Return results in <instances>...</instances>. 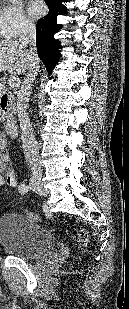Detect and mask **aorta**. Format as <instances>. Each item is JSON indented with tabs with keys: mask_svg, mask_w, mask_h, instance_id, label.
<instances>
[{
	"mask_svg": "<svg viewBox=\"0 0 129 309\" xmlns=\"http://www.w3.org/2000/svg\"><path fill=\"white\" fill-rule=\"evenodd\" d=\"M11 2H16L17 0H10Z\"/></svg>",
	"mask_w": 129,
	"mask_h": 309,
	"instance_id": "1",
	"label": "aorta"
}]
</instances>
